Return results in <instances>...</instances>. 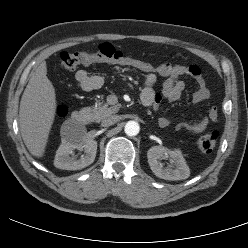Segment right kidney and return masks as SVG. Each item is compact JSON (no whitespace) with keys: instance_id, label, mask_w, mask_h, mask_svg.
<instances>
[{"instance_id":"obj_1","label":"right kidney","mask_w":248,"mask_h":248,"mask_svg":"<svg viewBox=\"0 0 248 248\" xmlns=\"http://www.w3.org/2000/svg\"><path fill=\"white\" fill-rule=\"evenodd\" d=\"M75 149L83 150L85 154L79 159H76L71 156ZM96 152L97 142L94 140H86L83 142L63 136L62 143L55 155L54 166L63 170H80L94 162Z\"/></svg>"}]
</instances>
